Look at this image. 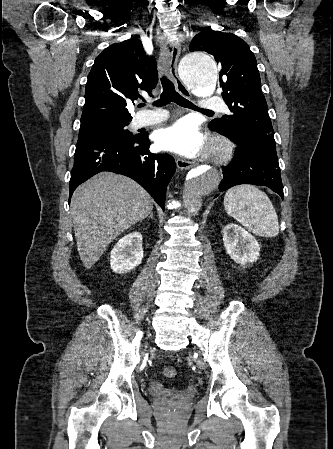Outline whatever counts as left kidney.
Wrapping results in <instances>:
<instances>
[{
	"label": "left kidney",
	"instance_id": "1",
	"mask_svg": "<svg viewBox=\"0 0 333 449\" xmlns=\"http://www.w3.org/2000/svg\"><path fill=\"white\" fill-rule=\"evenodd\" d=\"M222 235L225 250L236 263L245 265L258 259L259 244L244 228L231 223L223 228Z\"/></svg>",
	"mask_w": 333,
	"mask_h": 449
}]
</instances>
